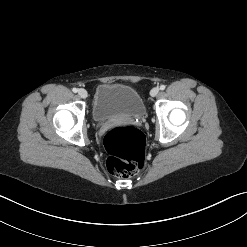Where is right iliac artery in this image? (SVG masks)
I'll list each match as a JSON object with an SVG mask.
<instances>
[{"instance_id":"1","label":"right iliac artery","mask_w":247,"mask_h":247,"mask_svg":"<svg viewBox=\"0 0 247 247\" xmlns=\"http://www.w3.org/2000/svg\"><path fill=\"white\" fill-rule=\"evenodd\" d=\"M72 91H73L74 93H77V92H78V89H77V88H73Z\"/></svg>"}]
</instances>
